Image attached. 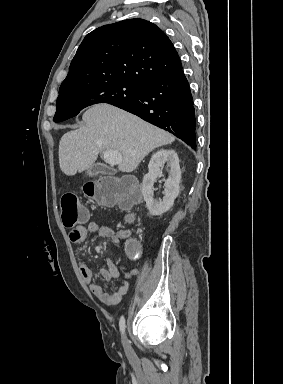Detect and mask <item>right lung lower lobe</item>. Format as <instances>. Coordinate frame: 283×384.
Segmentation results:
<instances>
[{
  "label": "right lung lower lobe",
  "mask_w": 283,
  "mask_h": 384,
  "mask_svg": "<svg viewBox=\"0 0 283 384\" xmlns=\"http://www.w3.org/2000/svg\"><path fill=\"white\" fill-rule=\"evenodd\" d=\"M182 139L196 149V118L183 70L141 86L135 99L114 104Z\"/></svg>",
  "instance_id": "1"
}]
</instances>
